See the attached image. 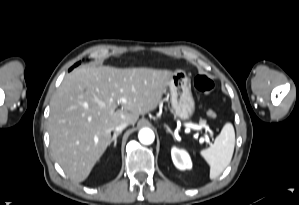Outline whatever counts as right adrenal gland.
<instances>
[{
    "mask_svg": "<svg viewBox=\"0 0 299 205\" xmlns=\"http://www.w3.org/2000/svg\"><path fill=\"white\" fill-rule=\"evenodd\" d=\"M120 134H121V132H116V133H114V135H113V137H112V139H111V141H110V144H111L112 142H114L113 147H116V145H117V137H118Z\"/></svg>",
    "mask_w": 299,
    "mask_h": 205,
    "instance_id": "obj_1",
    "label": "right adrenal gland"
}]
</instances>
